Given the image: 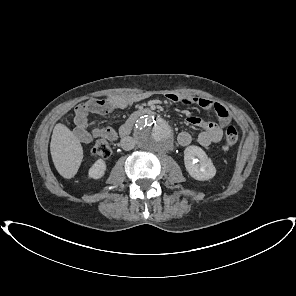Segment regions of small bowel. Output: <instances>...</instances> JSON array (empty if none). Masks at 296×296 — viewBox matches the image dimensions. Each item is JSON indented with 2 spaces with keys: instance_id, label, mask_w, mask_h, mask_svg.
<instances>
[{
  "instance_id": "c3829d8e",
  "label": "small bowel",
  "mask_w": 296,
  "mask_h": 296,
  "mask_svg": "<svg viewBox=\"0 0 296 296\" xmlns=\"http://www.w3.org/2000/svg\"><path fill=\"white\" fill-rule=\"evenodd\" d=\"M167 100L170 102L181 103L187 106H198L204 110H213L217 116L216 121H206L199 117L190 116L186 122L188 125L202 128L197 136V142L203 147H207L221 140L223 129L230 123L231 116L228 109L217 102L206 98L192 96H180L168 94ZM136 101L135 98L121 95H111L103 98L91 99L77 106L75 110L74 135L83 142L89 143L96 138H104L114 141L118 137V132L112 128H94L87 130V116L90 113L106 115L115 109H122ZM177 141L181 146H188L192 142L191 135L182 131L177 136Z\"/></svg>"
}]
</instances>
